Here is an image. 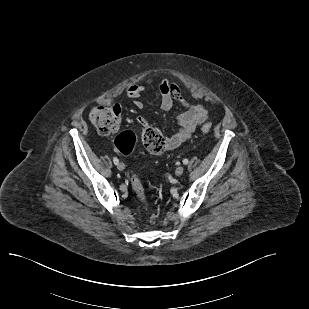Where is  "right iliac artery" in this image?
Instances as JSON below:
<instances>
[{
    "instance_id": "right-iliac-artery-1",
    "label": "right iliac artery",
    "mask_w": 309,
    "mask_h": 309,
    "mask_svg": "<svg viewBox=\"0 0 309 309\" xmlns=\"http://www.w3.org/2000/svg\"><path fill=\"white\" fill-rule=\"evenodd\" d=\"M113 162H114V164L117 165V164L119 163V160H118L116 157H114V158H113Z\"/></svg>"
}]
</instances>
